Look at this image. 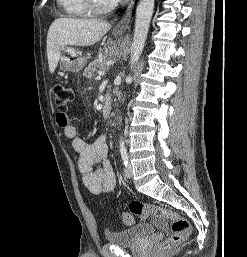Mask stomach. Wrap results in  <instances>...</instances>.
Wrapping results in <instances>:
<instances>
[{
	"instance_id": "0dacf381",
	"label": "stomach",
	"mask_w": 247,
	"mask_h": 257,
	"mask_svg": "<svg viewBox=\"0 0 247 257\" xmlns=\"http://www.w3.org/2000/svg\"><path fill=\"white\" fill-rule=\"evenodd\" d=\"M115 35L120 36V34ZM59 63L64 71L78 73L87 63V58L79 50L73 47H65L60 54Z\"/></svg>"
}]
</instances>
